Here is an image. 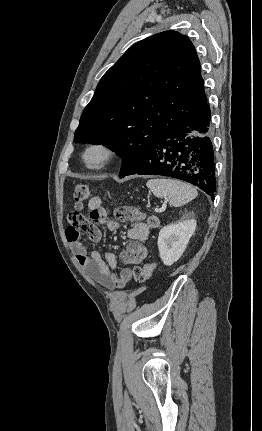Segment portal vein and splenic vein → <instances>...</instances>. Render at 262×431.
Returning a JSON list of instances; mask_svg holds the SVG:
<instances>
[{"instance_id": "18ae733b", "label": "portal vein and splenic vein", "mask_w": 262, "mask_h": 431, "mask_svg": "<svg viewBox=\"0 0 262 431\" xmlns=\"http://www.w3.org/2000/svg\"><path fill=\"white\" fill-rule=\"evenodd\" d=\"M155 211H156V212H159V209H156Z\"/></svg>"}]
</instances>
